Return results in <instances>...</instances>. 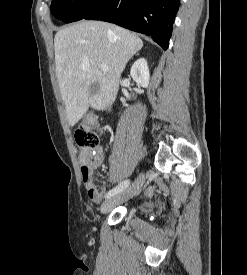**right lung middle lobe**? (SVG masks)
<instances>
[{"mask_svg": "<svg viewBox=\"0 0 247 275\" xmlns=\"http://www.w3.org/2000/svg\"><path fill=\"white\" fill-rule=\"evenodd\" d=\"M104 0H52L51 12L66 23L83 19Z\"/></svg>", "mask_w": 247, "mask_h": 275, "instance_id": "right-lung-middle-lobe-1", "label": "right lung middle lobe"}]
</instances>
